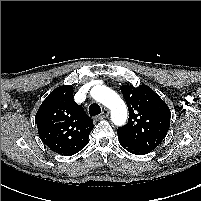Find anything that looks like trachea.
Returning a JSON list of instances; mask_svg holds the SVG:
<instances>
[{
  "label": "trachea",
  "mask_w": 201,
  "mask_h": 201,
  "mask_svg": "<svg viewBox=\"0 0 201 201\" xmlns=\"http://www.w3.org/2000/svg\"><path fill=\"white\" fill-rule=\"evenodd\" d=\"M101 113V108L97 103H92L89 107V114L91 117L99 115Z\"/></svg>",
  "instance_id": "obj_1"
}]
</instances>
